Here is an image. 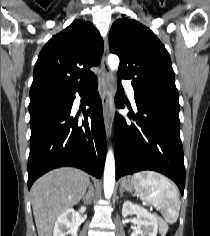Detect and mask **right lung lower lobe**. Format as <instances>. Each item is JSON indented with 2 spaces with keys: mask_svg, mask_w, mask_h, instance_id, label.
Segmentation results:
<instances>
[{
  "mask_svg": "<svg viewBox=\"0 0 210 236\" xmlns=\"http://www.w3.org/2000/svg\"><path fill=\"white\" fill-rule=\"evenodd\" d=\"M96 78L87 85L68 92L65 100L53 102L30 112V154L28 159V189L33 182L57 167L72 166L100 178L105 164L106 137L102 103L96 92ZM91 92L84 111V121L78 125L70 116L75 93Z\"/></svg>",
  "mask_w": 210,
  "mask_h": 236,
  "instance_id": "1",
  "label": "right lung lower lobe"
}]
</instances>
